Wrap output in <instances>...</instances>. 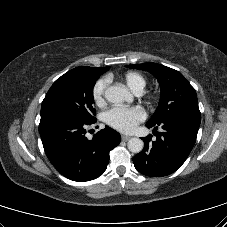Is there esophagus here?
<instances>
[{"label": "esophagus", "mask_w": 227, "mask_h": 227, "mask_svg": "<svg viewBox=\"0 0 227 227\" xmlns=\"http://www.w3.org/2000/svg\"><path fill=\"white\" fill-rule=\"evenodd\" d=\"M121 138H122V141H128L131 137L127 135H122Z\"/></svg>", "instance_id": "obj_1"}]
</instances>
